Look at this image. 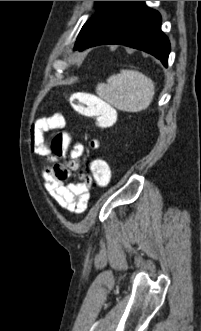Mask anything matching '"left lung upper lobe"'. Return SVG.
I'll use <instances>...</instances> for the list:
<instances>
[{"label":"left lung upper lobe","instance_id":"left-lung-upper-lobe-1","mask_svg":"<svg viewBox=\"0 0 201 331\" xmlns=\"http://www.w3.org/2000/svg\"><path fill=\"white\" fill-rule=\"evenodd\" d=\"M119 1H97V3H101L100 7L98 8L97 12L94 16L91 17L82 27L79 36L77 38L75 48L78 47L90 34L91 32L97 27L100 21L113 9V7Z\"/></svg>","mask_w":201,"mask_h":331}]
</instances>
